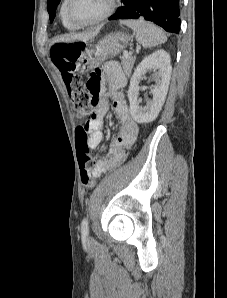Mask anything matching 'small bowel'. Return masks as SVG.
Returning a JSON list of instances; mask_svg holds the SVG:
<instances>
[{"instance_id":"1","label":"small bowel","mask_w":227,"mask_h":298,"mask_svg":"<svg viewBox=\"0 0 227 298\" xmlns=\"http://www.w3.org/2000/svg\"><path fill=\"white\" fill-rule=\"evenodd\" d=\"M102 68H106L111 79L109 91L105 90L103 78H100L103 77L102 69H93L86 82L87 92L91 95L89 102L96 103L92 105L95 110H89V115L95 117H89V125L84 126L89 134V149H96L103 140L104 119L110 108V100L120 121V129L111 141L108 153L94 162L90 170L93 178L109 171L122 159L124 150L135 143L139 131L138 124L130 114L125 94L120 89L126 83L121 67L116 62H109L102 63Z\"/></svg>"}]
</instances>
